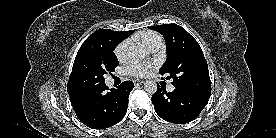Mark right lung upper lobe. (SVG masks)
<instances>
[{"label": "right lung upper lobe", "instance_id": "cb5924a9", "mask_svg": "<svg viewBox=\"0 0 276 138\" xmlns=\"http://www.w3.org/2000/svg\"><path fill=\"white\" fill-rule=\"evenodd\" d=\"M132 33H133V30L125 31V32H117L109 29H99L95 31L93 34H91L82 45H85L90 41H94L101 38L109 39L113 41L115 44H119L121 41H123Z\"/></svg>", "mask_w": 276, "mask_h": 138}]
</instances>
